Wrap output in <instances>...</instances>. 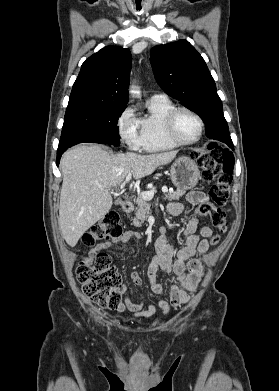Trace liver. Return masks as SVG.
<instances>
[{"label": "liver", "mask_w": 279, "mask_h": 391, "mask_svg": "<svg viewBox=\"0 0 279 391\" xmlns=\"http://www.w3.org/2000/svg\"><path fill=\"white\" fill-rule=\"evenodd\" d=\"M176 154H112L101 146L86 144L65 152L61 159L59 227L67 244L74 247L109 212L113 201L108 189L120 185L129 173L134 179L153 173Z\"/></svg>", "instance_id": "6515ba94"}]
</instances>
